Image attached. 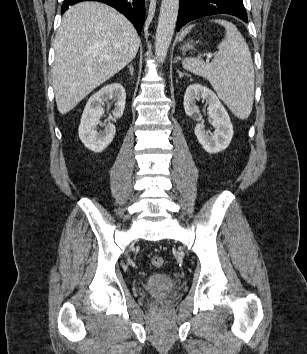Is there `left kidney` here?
I'll return each instance as SVG.
<instances>
[{"mask_svg": "<svg viewBox=\"0 0 307 354\" xmlns=\"http://www.w3.org/2000/svg\"><path fill=\"white\" fill-rule=\"evenodd\" d=\"M202 98L208 104V114L212 119L211 124L215 128L213 134H209L204 124L198 123L195 127V135L205 151L211 154L225 150L233 137V126L230 117L216 96L209 88L200 85H190L184 96L185 113L193 119L201 117L196 101Z\"/></svg>", "mask_w": 307, "mask_h": 354, "instance_id": "5707ae66", "label": "left kidney"}]
</instances>
